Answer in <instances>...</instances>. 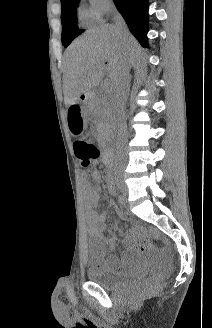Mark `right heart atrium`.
Listing matches in <instances>:
<instances>
[{
    "instance_id": "right-heart-atrium-1",
    "label": "right heart atrium",
    "mask_w": 212,
    "mask_h": 328,
    "mask_svg": "<svg viewBox=\"0 0 212 328\" xmlns=\"http://www.w3.org/2000/svg\"><path fill=\"white\" fill-rule=\"evenodd\" d=\"M89 8L85 17L90 21H101L112 8V0H88Z\"/></svg>"
}]
</instances>
